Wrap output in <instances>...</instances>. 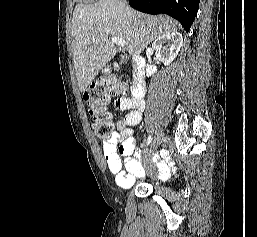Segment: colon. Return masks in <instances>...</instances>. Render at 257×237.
I'll use <instances>...</instances> for the list:
<instances>
[{
  "instance_id": "5ec220e1",
  "label": "colon",
  "mask_w": 257,
  "mask_h": 237,
  "mask_svg": "<svg viewBox=\"0 0 257 237\" xmlns=\"http://www.w3.org/2000/svg\"><path fill=\"white\" fill-rule=\"evenodd\" d=\"M127 92L126 85L116 76H104L93 82L84 95L89 107L91 125L96 138L107 142L113 134L112 115L106 104L111 97L122 96ZM120 99V98H119Z\"/></svg>"
}]
</instances>
